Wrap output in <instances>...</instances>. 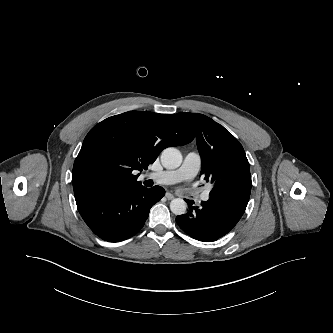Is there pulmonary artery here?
<instances>
[{"label":"pulmonary artery","instance_id":"e3ab8cb5","mask_svg":"<svg viewBox=\"0 0 333 333\" xmlns=\"http://www.w3.org/2000/svg\"><path fill=\"white\" fill-rule=\"evenodd\" d=\"M201 167V157L196 152H189L185 155L181 166L176 170H165L159 172H150L144 175L145 178L151 179L158 184H175L181 181L192 179L199 172ZM210 197V191L205 190L201 193L200 198L207 201Z\"/></svg>","mask_w":333,"mask_h":333}]
</instances>
